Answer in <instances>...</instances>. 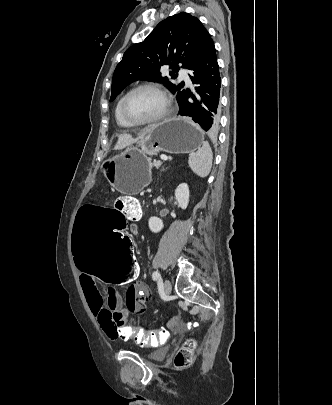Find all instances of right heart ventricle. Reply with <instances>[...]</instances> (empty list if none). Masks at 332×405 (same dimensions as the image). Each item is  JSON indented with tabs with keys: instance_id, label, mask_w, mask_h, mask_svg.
<instances>
[{
	"instance_id": "e07e8e85",
	"label": "right heart ventricle",
	"mask_w": 332,
	"mask_h": 405,
	"mask_svg": "<svg viewBox=\"0 0 332 405\" xmlns=\"http://www.w3.org/2000/svg\"><path fill=\"white\" fill-rule=\"evenodd\" d=\"M121 98L116 102V105H115V109H114L115 120H116V123L120 127L129 128V127H132V125L127 123L120 115V109L119 108H120Z\"/></svg>"
}]
</instances>
